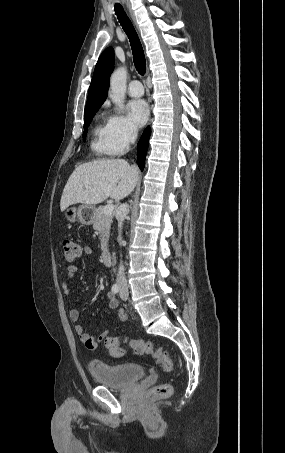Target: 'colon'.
I'll return each instance as SVG.
<instances>
[{"instance_id": "obj_1", "label": "colon", "mask_w": 285, "mask_h": 453, "mask_svg": "<svg viewBox=\"0 0 285 453\" xmlns=\"http://www.w3.org/2000/svg\"><path fill=\"white\" fill-rule=\"evenodd\" d=\"M62 247L64 250L65 258L68 261H72L80 255V245L73 238H64L62 241ZM121 343L128 344L133 352L137 355H149L153 357L156 363L159 364L164 371H172L173 362L169 357V354L163 348L156 346L150 341L144 339H130L126 336L107 337L105 339V345L109 353L116 358H119L124 354ZM172 390L173 388L171 384H161L151 389L149 391V396L152 398H166L171 395Z\"/></svg>"}]
</instances>
